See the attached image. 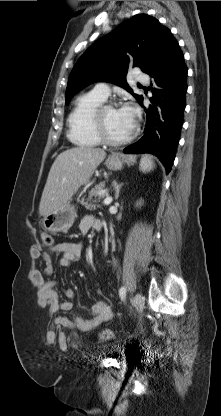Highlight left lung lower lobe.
Masks as SVG:
<instances>
[{
    "instance_id": "0a47b994",
    "label": "left lung lower lobe",
    "mask_w": 221,
    "mask_h": 416,
    "mask_svg": "<svg viewBox=\"0 0 221 416\" xmlns=\"http://www.w3.org/2000/svg\"><path fill=\"white\" fill-rule=\"evenodd\" d=\"M187 67L177 40L168 30L145 73L159 88H153L152 105L145 108L144 136L124 149L125 153H151L157 156L168 174L180 139L187 91ZM143 106V98L139 102ZM158 107L162 109L161 115Z\"/></svg>"
}]
</instances>
